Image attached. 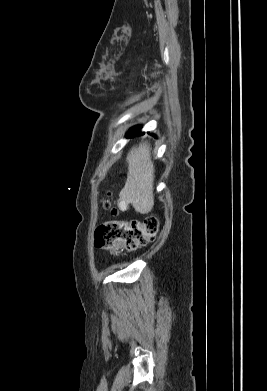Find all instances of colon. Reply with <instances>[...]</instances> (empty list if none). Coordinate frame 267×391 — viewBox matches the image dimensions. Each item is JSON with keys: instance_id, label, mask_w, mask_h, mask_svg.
Instances as JSON below:
<instances>
[{"instance_id": "5ec220e1", "label": "colon", "mask_w": 267, "mask_h": 391, "mask_svg": "<svg viewBox=\"0 0 267 391\" xmlns=\"http://www.w3.org/2000/svg\"><path fill=\"white\" fill-rule=\"evenodd\" d=\"M102 202L112 214H117L118 210L110 200L103 199ZM158 231V220L153 216L142 220L107 221L96 229L95 245L114 253L133 251L154 239Z\"/></svg>"}]
</instances>
